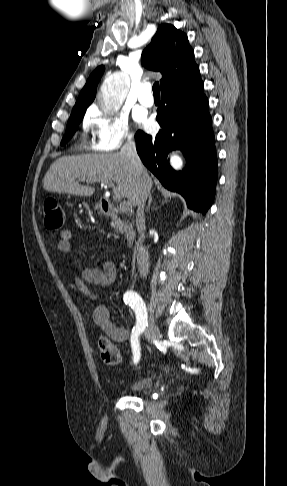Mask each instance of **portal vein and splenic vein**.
Returning a JSON list of instances; mask_svg holds the SVG:
<instances>
[{
	"label": "portal vein and splenic vein",
	"instance_id": "obj_1",
	"mask_svg": "<svg viewBox=\"0 0 287 486\" xmlns=\"http://www.w3.org/2000/svg\"><path fill=\"white\" fill-rule=\"evenodd\" d=\"M93 182H96V181H91V183ZM102 184L104 185H108L110 187H114V184L112 182H109V181H101ZM120 208L124 211H127V210H130L131 208V205L129 202H126V201H121L120 202Z\"/></svg>",
	"mask_w": 287,
	"mask_h": 486
}]
</instances>
